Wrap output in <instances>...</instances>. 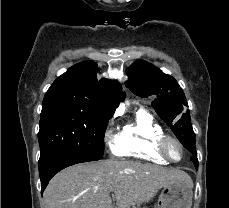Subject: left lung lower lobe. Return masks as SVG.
<instances>
[{
    "label": "left lung lower lobe",
    "instance_id": "0a47b994",
    "mask_svg": "<svg viewBox=\"0 0 229 208\" xmlns=\"http://www.w3.org/2000/svg\"><path fill=\"white\" fill-rule=\"evenodd\" d=\"M195 142H192L190 144H184L183 146L193 154L191 157V161L194 163L195 168L198 169V159H197V153H196V147H195Z\"/></svg>",
    "mask_w": 229,
    "mask_h": 208
}]
</instances>
